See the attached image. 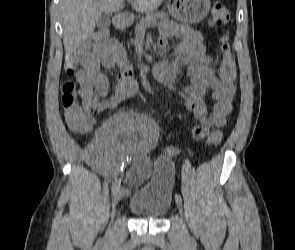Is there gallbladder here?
<instances>
[{
	"label": "gallbladder",
	"mask_w": 295,
	"mask_h": 250,
	"mask_svg": "<svg viewBox=\"0 0 295 250\" xmlns=\"http://www.w3.org/2000/svg\"><path fill=\"white\" fill-rule=\"evenodd\" d=\"M111 23L110 15L109 14H102L98 17L96 21V25L98 28L106 29L109 27Z\"/></svg>",
	"instance_id": "1"
}]
</instances>
